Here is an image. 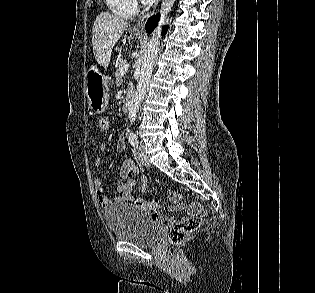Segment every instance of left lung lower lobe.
Wrapping results in <instances>:
<instances>
[{
  "mask_svg": "<svg viewBox=\"0 0 315 293\" xmlns=\"http://www.w3.org/2000/svg\"><path fill=\"white\" fill-rule=\"evenodd\" d=\"M159 17H160V15L157 14V15H155V16L150 17V18L147 20L146 25H145V28H146V31H147L148 33H152V32H153V30H154L155 27L157 26V23H158V21H159ZM165 33H166V31H163V32H162V35H164Z\"/></svg>",
  "mask_w": 315,
  "mask_h": 293,
  "instance_id": "obj_1",
  "label": "left lung lower lobe"
}]
</instances>
